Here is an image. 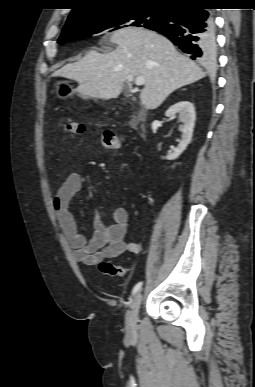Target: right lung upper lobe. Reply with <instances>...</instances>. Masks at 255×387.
<instances>
[{
  "instance_id": "right-lung-upper-lobe-1",
  "label": "right lung upper lobe",
  "mask_w": 255,
  "mask_h": 387,
  "mask_svg": "<svg viewBox=\"0 0 255 387\" xmlns=\"http://www.w3.org/2000/svg\"><path fill=\"white\" fill-rule=\"evenodd\" d=\"M198 0H76V8L72 9L67 22H73L89 14L121 6H149L172 8Z\"/></svg>"
}]
</instances>
